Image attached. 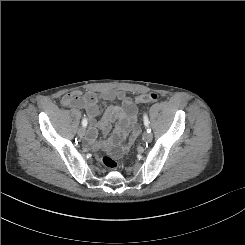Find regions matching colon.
<instances>
[{
  "label": "colon",
  "mask_w": 245,
  "mask_h": 245,
  "mask_svg": "<svg viewBox=\"0 0 245 245\" xmlns=\"http://www.w3.org/2000/svg\"><path fill=\"white\" fill-rule=\"evenodd\" d=\"M158 99V95L155 93L141 94L135 97V102L137 103H152ZM81 97L79 95H74L72 97L73 102H79ZM102 165L108 169H114L117 167V162L114 158L110 156H104L100 158Z\"/></svg>",
  "instance_id": "1"
}]
</instances>
